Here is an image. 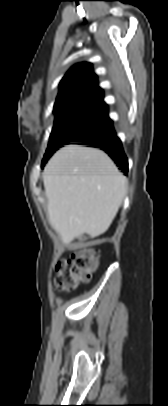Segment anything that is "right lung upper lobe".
Instances as JSON below:
<instances>
[{
    "instance_id": "cb5924a9",
    "label": "right lung upper lobe",
    "mask_w": 168,
    "mask_h": 406,
    "mask_svg": "<svg viewBox=\"0 0 168 406\" xmlns=\"http://www.w3.org/2000/svg\"><path fill=\"white\" fill-rule=\"evenodd\" d=\"M86 105L106 106L91 64L80 63L73 66L61 80L54 111Z\"/></svg>"
}]
</instances>
